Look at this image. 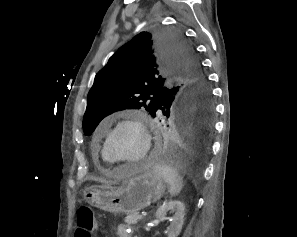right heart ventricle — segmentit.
Listing matches in <instances>:
<instances>
[{
	"label": "right heart ventricle",
	"instance_id": "obj_1",
	"mask_svg": "<svg viewBox=\"0 0 297 237\" xmlns=\"http://www.w3.org/2000/svg\"><path fill=\"white\" fill-rule=\"evenodd\" d=\"M101 156H102V159L105 163H107L108 165H113V162L107 157V155L105 154L103 148L101 150Z\"/></svg>",
	"mask_w": 297,
	"mask_h": 237
}]
</instances>
